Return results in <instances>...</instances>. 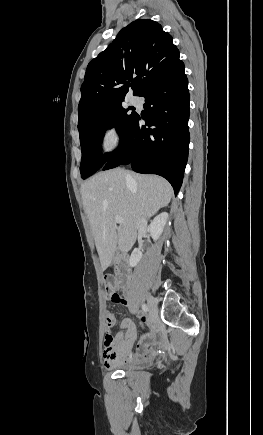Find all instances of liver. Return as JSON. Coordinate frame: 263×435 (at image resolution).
Here are the masks:
<instances>
[{
    "mask_svg": "<svg viewBox=\"0 0 263 435\" xmlns=\"http://www.w3.org/2000/svg\"><path fill=\"white\" fill-rule=\"evenodd\" d=\"M80 192L102 270L110 265L116 250L125 254L132 248L139 218L155 215L169 204L173 195L164 178L120 168L95 174L81 185ZM116 216L124 220L118 227Z\"/></svg>",
    "mask_w": 263,
    "mask_h": 435,
    "instance_id": "6515ba94",
    "label": "liver"
}]
</instances>
